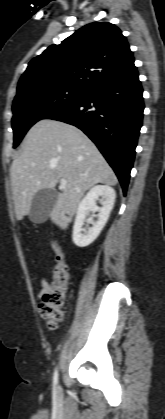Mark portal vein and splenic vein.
Here are the masks:
<instances>
[{
  "instance_id": "portal-vein-and-splenic-vein-1",
  "label": "portal vein and splenic vein",
  "mask_w": 165,
  "mask_h": 419,
  "mask_svg": "<svg viewBox=\"0 0 165 419\" xmlns=\"http://www.w3.org/2000/svg\"><path fill=\"white\" fill-rule=\"evenodd\" d=\"M66 183H67L66 179H61V180H60V185H61V186H65V185H66Z\"/></svg>"
}]
</instances>
